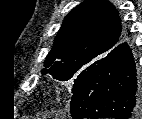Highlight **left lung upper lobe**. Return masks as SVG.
I'll use <instances>...</instances> for the list:
<instances>
[{
    "label": "left lung upper lobe",
    "instance_id": "1",
    "mask_svg": "<svg viewBox=\"0 0 142 119\" xmlns=\"http://www.w3.org/2000/svg\"><path fill=\"white\" fill-rule=\"evenodd\" d=\"M123 39L115 7L105 0H86L64 19L42 74L49 73L59 81H74V92Z\"/></svg>",
    "mask_w": 142,
    "mask_h": 119
}]
</instances>
